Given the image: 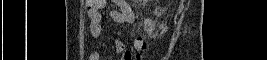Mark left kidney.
I'll use <instances>...</instances> for the list:
<instances>
[{"instance_id":"1","label":"left kidney","mask_w":267,"mask_h":60,"mask_svg":"<svg viewBox=\"0 0 267 60\" xmlns=\"http://www.w3.org/2000/svg\"><path fill=\"white\" fill-rule=\"evenodd\" d=\"M158 10H159V11L157 12L158 15H161V13H163V12L165 11V9H160V8H158Z\"/></svg>"}]
</instances>
